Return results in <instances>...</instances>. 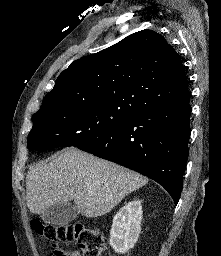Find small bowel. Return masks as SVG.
<instances>
[{"instance_id":"small-bowel-1","label":"small bowel","mask_w":221,"mask_h":256,"mask_svg":"<svg viewBox=\"0 0 221 256\" xmlns=\"http://www.w3.org/2000/svg\"><path fill=\"white\" fill-rule=\"evenodd\" d=\"M55 254H56V255H59V256H62V255L59 254V252H56ZM71 256H80V255H79V253L74 252V253H72Z\"/></svg>"}]
</instances>
